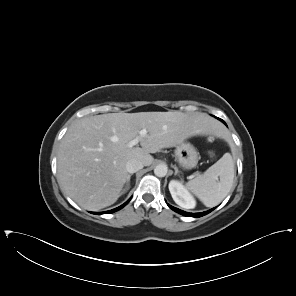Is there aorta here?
<instances>
[{
    "label": "aorta",
    "instance_id": "1",
    "mask_svg": "<svg viewBox=\"0 0 296 296\" xmlns=\"http://www.w3.org/2000/svg\"><path fill=\"white\" fill-rule=\"evenodd\" d=\"M168 168L165 164H159L154 169V174L157 177H164L167 174Z\"/></svg>",
    "mask_w": 296,
    "mask_h": 296
}]
</instances>
